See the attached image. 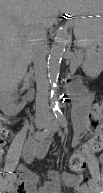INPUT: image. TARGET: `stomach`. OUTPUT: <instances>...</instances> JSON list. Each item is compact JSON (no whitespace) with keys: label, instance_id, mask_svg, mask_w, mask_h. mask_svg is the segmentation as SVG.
Listing matches in <instances>:
<instances>
[{"label":"stomach","instance_id":"obj_1","mask_svg":"<svg viewBox=\"0 0 103 193\" xmlns=\"http://www.w3.org/2000/svg\"><path fill=\"white\" fill-rule=\"evenodd\" d=\"M72 14L75 16H85L83 24L76 27V34L80 37V43L86 47L87 52L90 53L93 49V42L89 34L91 31V24L94 21L101 20L100 15L103 10V0H72ZM91 17V18H89Z\"/></svg>","mask_w":103,"mask_h":193}]
</instances>
